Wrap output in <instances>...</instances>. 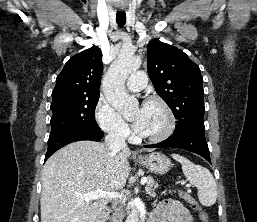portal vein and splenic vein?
Returning a JSON list of instances; mask_svg holds the SVG:
<instances>
[{"mask_svg": "<svg viewBox=\"0 0 257 222\" xmlns=\"http://www.w3.org/2000/svg\"><path fill=\"white\" fill-rule=\"evenodd\" d=\"M147 179H143L142 183H146ZM78 197H81L82 199L89 201V200H95L98 198H109V199H122L123 198V194L118 193V192H106V191H102V190H96V191H92L90 193H86V194H79Z\"/></svg>", "mask_w": 257, "mask_h": 222, "instance_id": "18ae733b", "label": "portal vein and splenic vein"}]
</instances>
